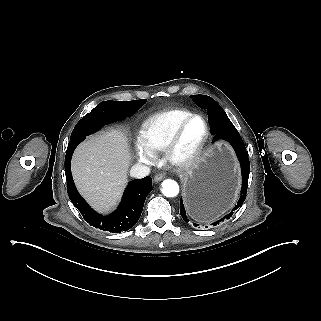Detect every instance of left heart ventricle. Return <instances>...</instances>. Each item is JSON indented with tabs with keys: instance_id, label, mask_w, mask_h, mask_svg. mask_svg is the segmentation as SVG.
<instances>
[{
	"instance_id": "1",
	"label": "left heart ventricle",
	"mask_w": 321,
	"mask_h": 321,
	"mask_svg": "<svg viewBox=\"0 0 321 321\" xmlns=\"http://www.w3.org/2000/svg\"><path fill=\"white\" fill-rule=\"evenodd\" d=\"M204 133L203 122L200 119L192 120L182 131L179 148L182 153L193 150Z\"/></svg>"
}]
</instances>
